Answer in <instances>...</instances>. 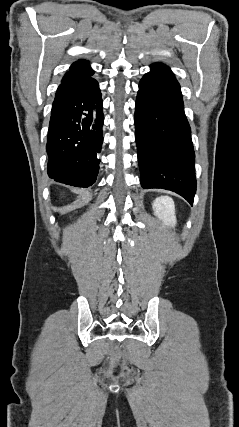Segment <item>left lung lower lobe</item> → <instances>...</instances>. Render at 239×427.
<instances>
[{"label": "left lung lower lobe", "mask_w": 239, "mask_h": 427, "mask_svg": "<svg viewBox=\"0 0 239 427\" xmlns=\"http://www.w3.org/2000/svg\"><path fill=\"white\" fill-rule=\"evenodd\" d=\"M135 138L142 188L174 191L192 205L196 178L191 129L180 85L164 64H152L140 80Z\"/></svg>", "instance_id": "0a47b994"}]
</instances>
